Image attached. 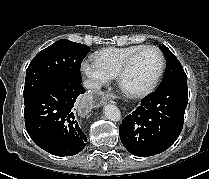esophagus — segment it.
I'll list each match as a JSON object with an SVG mask.
<instances>
[{"label":"esophagus","mask_w":209,"mask_h":179,"mask_svg":"<svg viewBox=\"0 0 209 179\" xmlns=\"http://www.w3.org/2000/svg\"><path fill=\"white\" fill-rule=\"evenodd\" d=\"M106 101H111L109 95L104 96L102 93H87L77 101V108L81 112H88L91 108L101 107Z\"/></svg>","instance_id":"obj_1"}]
</instances>
